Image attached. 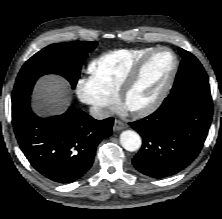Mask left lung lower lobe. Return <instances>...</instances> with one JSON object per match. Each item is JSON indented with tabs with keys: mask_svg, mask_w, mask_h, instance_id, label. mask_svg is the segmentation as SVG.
I'll use <instances>...</instances> for the list:
<instances>
[{
	"mask_svg": "<svg viewBox=\"0 0 222 219\" xmlns=\"http://www.w3.org/2000/svg\"><path fill=\"white\" fill-rule=\"evenodd\" d=\"M213 114L212 98L193 91L170 93L153 114L129 123L143 138L132 163L153 178L171 176L199 154Z\"/></svg>",
	"mask_w": 222,
	"mask_h": 219,
	"instance_id": "0a47b994",
	"label": "left lung lower lobe"
}]
</instances>
